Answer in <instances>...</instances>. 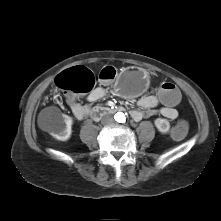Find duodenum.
<instances>
[{
  "label": "duodenum",
  "mask_w": 221,
  "mask_h": 221,
  "mask_svg": "<svg viewBox=\"0 0 221 221\" xmlns=\"http://www.w3.org/2000/svg\"><path fill=\"white\" fill-rule=\"evenodd\" d=\"M119 110L121 109L117 107H94L89 112V116L93 120L97 121V120H100L103 116L108 115V114H113Z\"/></svg>",
  "instance_id": "obj_1"
}]
</instances>
